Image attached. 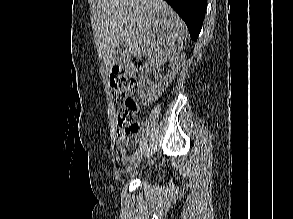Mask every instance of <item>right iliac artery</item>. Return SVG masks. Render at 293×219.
<instances>
[{"mask_svg": "<svg viewBox=\"0 0 293 219\" xmlns=\"http://www.w3.org/2000/svg\"><path fill=\"white\" fill-rule=\"evenodd\" d=\"M141 151V148L140 149H137L136 152L133 154L132 158H134L135 156H137Z\"/></svg>", "mask_w": 293, "mask_h": 219, "instance_id": "1", "label": "right iliac artery"}]
</instances>
